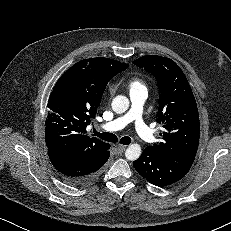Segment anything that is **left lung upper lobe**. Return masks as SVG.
<instances>
[{
  "label": "left lung upper lobe",
  "instance_id": "obj_1",
  "mask_svg": "<svg viewBox=\"0 0 231 231\" xmlns=\"http://www.w3.org/2000/svg\"><path fill=\"white\" fill-rule=\"evenodd\" d=\"M156 77L159 87L157 122L164 124L163 141L148 146L160 157L192 165L199 144V114L191 87L170 58L147 55L133 62Z\"/></svg>",
  "mask_w": 231,
  "mask_h": 231
}]
</instances>
